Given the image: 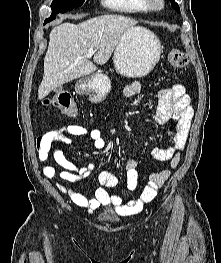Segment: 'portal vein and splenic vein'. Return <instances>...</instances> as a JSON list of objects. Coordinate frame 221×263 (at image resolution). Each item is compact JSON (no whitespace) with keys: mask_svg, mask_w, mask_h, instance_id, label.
Instances as JSON below:
<instances>
[{"mask_svg":"<svg viewBox=\"0 0 221 263\" xmlns=\"http://www.w3.org/2000/svg\"><path fill=\"white\" fill-rule=\"evenodd\" d=\"M94 53H95V49H94V48H90V49L88 50L87 56H88V57H91Z\"/></svg>","mask_w":221,"mask_h":263,"instance_id":"obj_1","label":"portal vein and splenic vein"}]
</instances>
